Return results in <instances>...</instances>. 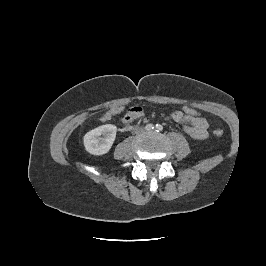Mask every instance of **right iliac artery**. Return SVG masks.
Returning a JSON list of instances; mask_svg holds the SVG:
<instances>
[{"label": "right iliac artery", "mask_w": 266, "mask_h": 266, "mask_svg": "<svg viewBox=\"0 0 266 266\" xmlns=\"http://www.w3.org/2000/svg\"><path fill=\"white\" fill-rule=\"evenodd\" d=\"M145 129L148 130V131H150V130H153L154 129V126H153V124H147L145 126Z\"/></svg>", "instance_id": "82829eb1"}]
</instances>
